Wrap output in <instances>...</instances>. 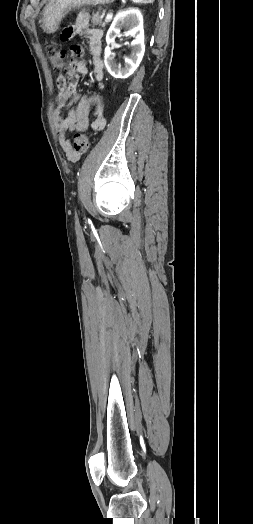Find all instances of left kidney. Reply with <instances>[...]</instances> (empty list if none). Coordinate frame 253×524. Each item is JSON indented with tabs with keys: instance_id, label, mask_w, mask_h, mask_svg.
<instances>
[{
	"instance_id": "obj_1",
	"label": "left kidney",
	"mask_w": 253,
	"mask_h": 524,
	"mask_svg": "<svg viewBox=\"0 0 253 524\" xmlns=\"http://www.w3.org/2000/svg\"><path fill=\"white\" fill-rule=\"evenodd\" d=\"M126 26L125 36H132V52L129 57L125 58V64H117L114 61V54L109 47L114 42L116 36L120 34V28ZM107 46L104 51V63L107 71L114 78H127L134 73L140 65L145 52L143 16L138 9H128L119 12L114 18L107 34Z\"/></svg>"
}]
</instances>
